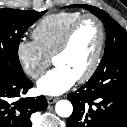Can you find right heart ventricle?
Wrapping results in <instances>:
<instances>
[{
  "label": "right heart ventricle",
  "instance_id": "e07e8e85",
  "mask_svg": "<svg viewBox=\"0 0 127 127\" xmlns=\"http://www.w3.org/2000/svg\"><path fill=\"white\" fill-rule=\"evenodd\" d=\"M81 15L79 12H59L43 17L35 25L32 37L47 57H52L67 29Z\"/></svg>",
  "mask_w": 127,
  "mask_h": 127
}]
</instances>
